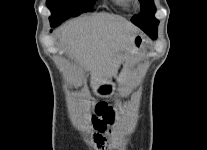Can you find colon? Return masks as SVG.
Listing matches in <instances>:
<instances>
[{"instance_id":"obj_1","label":"colon","mask_w":207,"mask_h":150,"mask_svg":"<svg viewBox=\"0 0 207 150\" xmlns=\"http://www.w3.org/2000/svg\"><path fill=\"white\" fill-rule=\"evenodd\" d=\"M113 117L114 115L110 108H108L104 104L98 105L96 108V116L94 117L95 128L100 133H105L109 131L110 126L113 123ZM92 137L96 138L97 134L93 133ZM99 137H101V140L104 141V138L101 135H99Z\"/></svg>"}]
</instances>
